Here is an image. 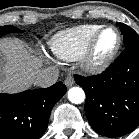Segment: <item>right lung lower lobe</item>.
<instances>
[{
  "label": "right lung lower lobe",
  "instance_id": "1",
  "mask_svg": "<svg viewBox=\"0 0 139 139\" xmlns=\"http://www.w3.org/2000/svg\"><path fill=\"white\" fill-rule=\"evenodd\" d=\"M66 91V86L58 82L18 94L0 93V139H39L48 126L53 106Z\"/></svg>",
  "mask_w": 139,
  "mask_h": 139
}]
</instances>
